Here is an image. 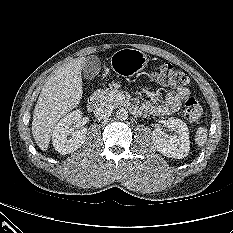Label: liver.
<instances>
[{"label":"liver","instance_id":"1","mask_svg":"<svg viewBox=\"0 0 233 233\" xmlns=\"http://www.w3.org/2000/svg\"><path fill=\"white\" fill-rule=\"evenodd\" d=\"M85 60V57L76 58L60 67L41 90L33 112L32 134L42 151L48 149L57 122L80 103Z\"/></svg>","mask_w":233,"mask_h":233}]
</instances>
